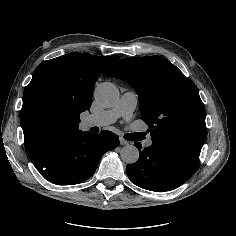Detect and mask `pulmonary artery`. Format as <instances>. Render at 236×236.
<instances>
[{"instance_id":"1","label":"pulmonary artery","mask_w":236,"mask_h":236,"mask_svg":"<svg viewBox=\"0 0 236 236\" xmlns=\"http://www.w3.org/2000/svg\"><path fill=\"white\" fill-rule=\"evenodd\" d=\"M138 104V95L134 91H128L122 94L118 101L109 110L103 112V116L108 118L109 122H114L118 118L123 117L126 120H130L134 110ZM152 145V140L147 139L145 146L149 147Z\"/></svg>"}]
</instances>
